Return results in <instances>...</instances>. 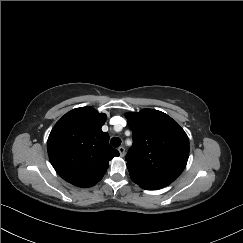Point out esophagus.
<instances>
[{"label": "esophagus", "instance_id": "34e87169", "mask_svg": "<svg viewBox=\"0 0 243 243\" xmlns=\"http://www.w3.org/2000/svg\"><path fill=\"white\" fill-rule=\"evenodd\" d=\"M118 151H119L121 157L125 156V148L123 146H120L118 148Z\"/></svg>", "mask_w": 243, "mask_h": 243}]
</instances>
